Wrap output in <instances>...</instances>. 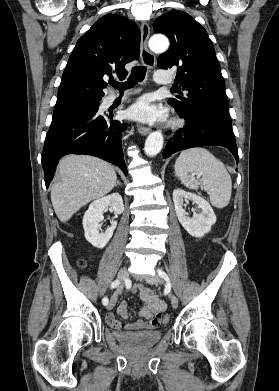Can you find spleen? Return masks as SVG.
<instances>
[{
	"label": "spleen",
	"instance_id": "spleen-1",
	"mask_svg": "<svg viewBox=\"0 0 279 391\" xmlns=\"http://www.w3.org/2000/svg\"><path fill=\"white\" fill-rule=\"evenodd\" d=\"M175 173L187 188L204 189L213 206L224 208L229 204L231 177L224 164L207 149L195 147L182 151L175 162ZM194 175L201 179H196Z\"/></svg>",
	"mask_w": 279,
	"mask_h": 391
}]
</instances>
